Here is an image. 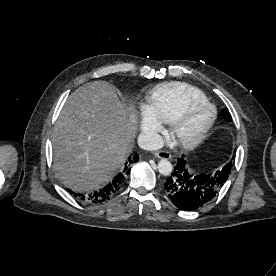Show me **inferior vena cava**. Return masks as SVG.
<instances>
[{"label":"inferior vena cava","instance_id":"inferior-vena-cava-1","mask_svg":"<svg viewBox=\"0 0 276 276\" xmlns=\"http://www.w3.org/2000/svg\"><path fill=\"white\" fill-rule=\"evenodd\" d=\"M138 145L140 148L144 150H158L163 147V139L158 133H141L138 136Z\"/></svg>","mask_w":276,"mask_h":276}]
</instances>
